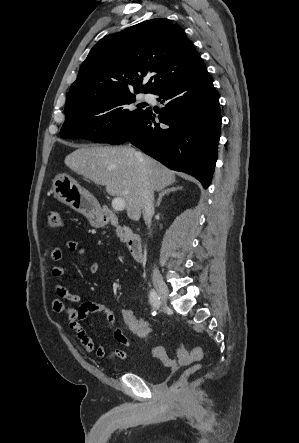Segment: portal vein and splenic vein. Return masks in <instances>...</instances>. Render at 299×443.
Segmentation results:
<instances>
[{
	"label": "portal vein and splenic vein",
	"mask_w": 299,
	"mask_h": 443,
	"mask_svg": "<svg viewBox=\"0 0 299 443\" xmlns=\"http://www.w3.org/2000/svg\"><path fill=\"white\" fill-rule=\"evenodd\" d=\"M112 207L115 211H123L125 209V201L120 197H116L112 200Z\"/></svg>",
	"instance_id": "obj_1"
}]
</instances>
